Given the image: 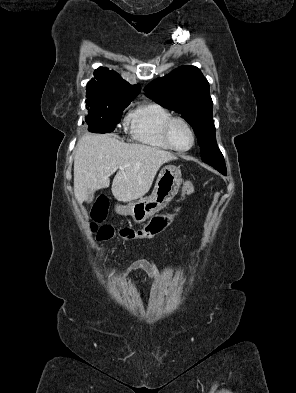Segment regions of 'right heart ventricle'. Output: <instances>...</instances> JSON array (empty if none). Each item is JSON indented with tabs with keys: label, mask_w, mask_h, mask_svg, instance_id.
Masks as SVG:
<instances>
[{
	"label": "right heart ventricle",
	"mask_w": 296,
	"mask_h": 393,
	"mask_svg": "<svg viewBox=\"0 0 296 393\" xmlns=\"http://www.w3.org/2000/svg\"><path fill=\"white\" fill-rule=\"evenodd\" d=\"M171 117L170 110L159 103L141 104L130 115L132 138L150 147L172 149L163 136L164 125Z\"/></svg>",
	"instance_id": "e07e8e85"
}]
</instances>
